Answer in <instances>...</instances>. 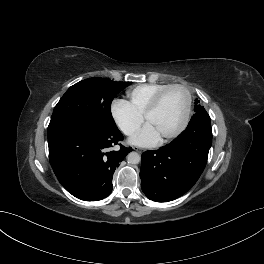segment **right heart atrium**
<instances>
[{
  "instance_id": "d8ad5b80",
  "label": "right heart atrium",
  "mask_w": 264,
  "mask_h": 264,
  "mask_svg": "<svg viewBox=\"0 0 264 264\" xmlns=\"http://www.w3.org/2000/svg\"><path fill=\"white\" fill-rule=\"evenodd\" d=\"M111 116L116 126L126 136L133 135L143 121L142 115L138 114L128 101L122 99H115L112 102Z\"/></svg>"
}]
</instances>
